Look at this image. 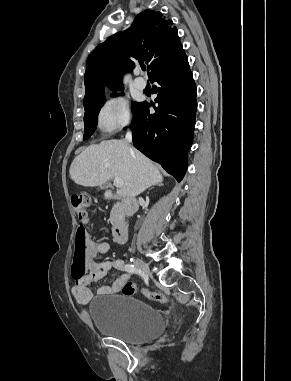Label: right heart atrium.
Wrapping results in <instances>:
<instances>
[{"mask_svg":"<svg viewBox=\"0 0 291 381\" xmlns=\"http://www.w3.org/2000/svg\"><path fill=\"white\" fill-rule=\"evenodd\" d=\"M132 116L127 101L122 97L108 99L97 116L98 127L106 133L121 129L131 123Z\"/></svg>","mask_w":291,"mask_h":381,"instance_id":"d8ad5b80","label":"right heart atrium"}]
</instances>
